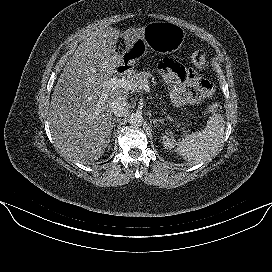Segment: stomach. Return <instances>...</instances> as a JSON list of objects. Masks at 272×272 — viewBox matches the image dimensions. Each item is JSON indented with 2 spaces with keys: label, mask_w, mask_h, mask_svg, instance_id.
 Wrapping results in <instances>:
<instances>
[{
  "label": "stomach",
  "mask_w": 272,
  "mask_h": 272,
  "mask_svg": "<svg viewBox=\"0 0 272 272\" xmlns=\"http://www.w3.org/2000/svg\"><path fill=\"white\" fill-rule=\"evenodd\" d=\"M144 28L143 36L124 53L123 59L126 58L128 65H134L148 49L166 54L175 52L184 42L185 32L175 23L155 21L148 23Z\"/></svg>",
  "instance_id": "0dacf381"
}]
</instances>
